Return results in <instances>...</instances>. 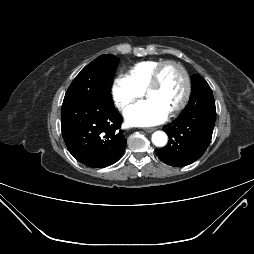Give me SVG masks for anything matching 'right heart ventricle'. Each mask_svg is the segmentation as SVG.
Wrapping results in <instances>:
<instances>
[{
  "label": "right heart ventricle",
  "mask_w": 254,
  "mask_h": 254,
  "mask_svg": "<svg viewBox=\"0 0 254 254\" xmlns=\"http://www.w3.org/2000/svg\"><path fill=\"white\" fill-rule=\"evenodd\" d=\"M162 62L161 60H145L138 62L130 67L127 76L141 91H145L152 79L155 69Z\"/></svg>",
  "instance_id": "obj_1"
}]
</instances>
